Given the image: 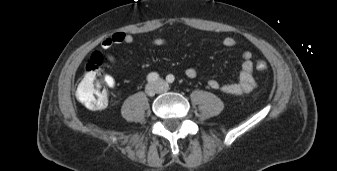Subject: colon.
Listing matches in <instances>:
<instances>
[{"label": "colon", "mask_w": 337, "mask_h": 171, "mask_svg": "<svg viewBox=\"0 0 337 171\" xmlns=\"http://www.w3.org/2000/svg\"><path fill=\"white\" fill-rule=\"evenodd\" d=\"M256 70L265 72L267 63L261 58H255ZM102 77V58L94 53L85 67L84 74L76 87L77 99L87 108L99 110L107 103V91Z\"/></svg>", "instance_id": "1"}]
</instances>
